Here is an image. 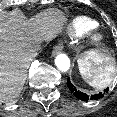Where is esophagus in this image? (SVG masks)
Listing matches in <instances>:
<instances>
[{
	"label": "esophagus",
	"instance_id": "esophagus-1",
	"mask_svg": "<svg viewBox=\"0 0 117 117\" xmlns=\"http://www.w3.org/2000/svg\"><path fill=\"white\" fill-rule=\"evenodd\" d=\"M62 50H63V45L62 44H57L53 48L52 55L54 56L56 54H59Z\"/></svg>",
	"mask_w": 117,
	"mask_h": 117
}]
</instances>
